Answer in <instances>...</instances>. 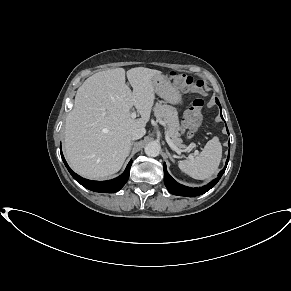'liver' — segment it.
Instances as JSON below:
<instances>
[{
    "label": "liver",
    "instance_id": "1",
    "mask_svg": "<svg viewBox=\"0 0 291 291\" xmlns=\"http://www.w3.org/2000/svg\"><path fill=\"white\" fill-rule=\"evenodd\" d=\"M162 72L137 67L90 76L77 90L74 108L65 122L64 148L71 168L89 179L118 172L131 146V134L145 128L155 100L153 78ZM135 106L141 118H131Z\"/></svg>",
    "mask_w": 291,
    "mask_h": 291
}]
</instances>
